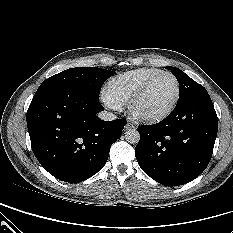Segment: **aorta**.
<instances>
[{"mask_svg":"<svg viewBox=\"0 0 233 233\" xmlns=\"http://www.w3.org/2000/svg\"><path fill=\"white\" fill-rule=\"evenodd\" d=\"M125 139L130 144H136L140 140V133L136 129H128L125 132Z\"/></svg>","mask_w":233,"mask_h":233,"instance_id":"762f6f07","label":"aorta"}]
</instances>
